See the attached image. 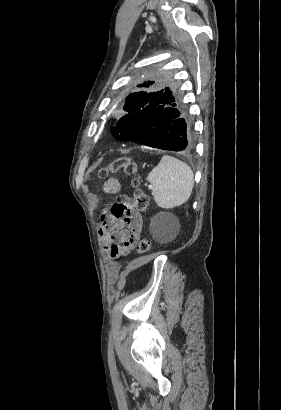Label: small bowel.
Wrapping results in <instances>:
<instances>
[{
	"label": "small bowel",
	"mask_w": 281,
	"mask_h": 410,
	"mask_svg": "<svg viewBox=\"0 0 281 410\" xmlns=\"http://www.w3.org/2000/svg\"><path fill=\"white\" fill-rule=\"evenodd\" d=\"M119 183L111 179L106 185V190L117 192ZM143 220L138 213L128 217H116L104 212L101 216V225L98 229L100 240L111 259L129 255L135 248L142 230Z\"/></svg>",
	"instance_id": "small-bowel-1"
}]
</instances>
